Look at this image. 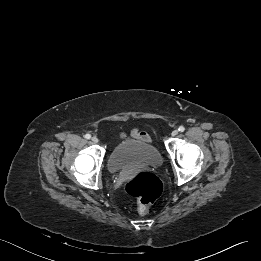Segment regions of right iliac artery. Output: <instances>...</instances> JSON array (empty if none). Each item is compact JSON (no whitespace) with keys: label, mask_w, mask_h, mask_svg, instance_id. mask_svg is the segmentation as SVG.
Returning <instances> with one entry per match:
<instances>
[{"label":"right iliac artery","mask_w":261,"mask_h":261,"mask_svg":"<svg viewBox=\"0 0 261 261\" xmlns=\"http://www.w3.org/2000/svg\"><path fill=\"white\" fill-rule=\"evenodd\" d=\"M85 138H86V139H90V138H91V135H90V134H86V135H85Z\"/></svg>","instance_id":"right-iliac-artery-1"}]
</instances>
